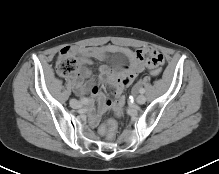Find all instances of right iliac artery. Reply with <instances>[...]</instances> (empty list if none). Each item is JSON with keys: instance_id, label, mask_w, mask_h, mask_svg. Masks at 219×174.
Instances as JSON below:
<instances>
[{"instance_id": "obj_1", "label": "right iliac artery", "mask_w": 219, "mask_h": 174, "mask_svg": "<svg viewBox=\"0 0 219 174\" xmlns=\"http://www.w3.org/2000/svg\"><path fill=\"white\" fill-rule=\"evenodd\" d=\"M80 102H81L82 104H88V103H89V100H88L87 98H82V99L80 100Z\"/></svg>"}]
</instances>
